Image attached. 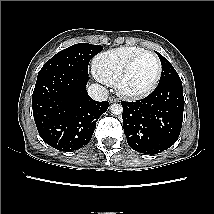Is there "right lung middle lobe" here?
<instances>
[{
  "instance_id": "obj_1",
  "label": "right lung middle lobe",
  "mask_w": 214,
  "mask_h": 214,
  "mask_svg": "<svg viewBox=\"0 0 214 214\" xmlns=\"http://www.w3.org/2000/svg\"><path fill=\"white\" fill-rule=\"evenodd\" d=\"M100 45L79 43L54 55L38 73V77L53 72H68L88 76L90 59L102 51Z\"/></svg>"
}]
</instances>
